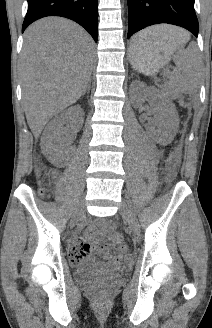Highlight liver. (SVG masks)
<instances>
[{"instance_id":"liver-1","label":"liver","mask_w":212,"mask_h":328,"mask_svg":"<svg viewBox=\"0 0 212 328\" xmlns=\"http://www.w3.org/2000/svg\"><path fill=\"white\" fill-rule=\"evenodd\" d=\"M171 28L189 39L184 30ZM93 60V39L73 21L47 17L27 28L20 76L27 123L36 138L54 115L82 96Z\"/></svg>"}]
</instances>
